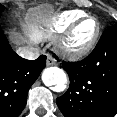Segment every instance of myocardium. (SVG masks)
Masks as SVG:
<instances>
[{
  "mask_svg": "<svg viewBox=\"0 0 117 117\" xmlns=\"http://www.w3.org/2000/svg\"><path fill=\"white\" fill-rule=\"evenodd\" d=\"M93 20L96 24L93 35L85 43L77 45L74 43V35L77 29L86 21ZM101 32V25L97 18L94 16H83L77 19L64 33L58 42L60 52L67 58L78 60L89 55L95 48Z\"/></svg>",
  "mask_w": 117,
  "mask_h": 117,
  "instance_id": "f54148a6",
  "label": "myocardium"
}]
</instances>
